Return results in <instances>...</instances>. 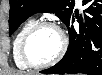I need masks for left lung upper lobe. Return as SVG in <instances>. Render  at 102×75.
<instances>
[{
	"label": "left lung upper lobe",
	"instance_id": "obj_1",
	"mask_svg": "<svg viewBox=\"0 0 102 75\" xmlns=\"http://www.w3.org/2000/svg\"><path fill=\"white\" fill-rule=\"evenodd\" d=\"M74 4L70 0H10V34L29 16L39 12L55 13L66 24L73 14Z\"/></svg>",
	"mask_w": 102,
	"mask_h": 75
}]
</instances>
